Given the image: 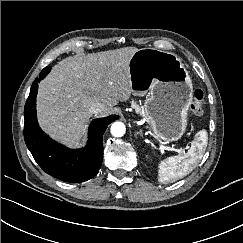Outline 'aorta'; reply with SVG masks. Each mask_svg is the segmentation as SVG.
<instances>
[{"mask_svg": "<svg viewBox=\"0 0 243 243\" xmlns=\"http://www.w3.org/2000/svg\"><path fill=\"white\" fill-rule=\"evenodd\" d=\"M126 128L122 122H114L111 126V134L114 137H122L125 134Z\"/></svg>", "mask_w": 243, "mask_h": 243, "instance_id": "762f6f07", "label": "aorta"}]
</instances>
